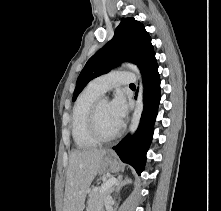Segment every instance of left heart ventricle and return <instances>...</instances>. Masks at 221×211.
<instances>
[{"label":"left heart ventricle","mask_w":221,"mask_h":211,"mask_svg":"<svg viewBox=\"0 0 221 211\" xmlns=\"http://www.w3.org/2000/svg\"><path fill=\"white\" fill-rule=\"evenodd\" d=\"M98 125L102 134L106 136L112 135L119 129L111 115L109 102L106 100H104L99 106Z\"/></svg>","instance_id":"left-heart-ventricle-1"}]
</instances>
